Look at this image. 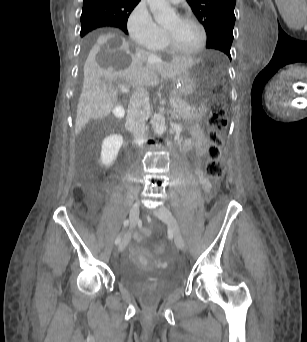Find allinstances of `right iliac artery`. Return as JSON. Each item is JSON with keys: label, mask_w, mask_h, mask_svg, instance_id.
<instances>
[{"label": "right iliac artery", "mask_w": 307, "mask_h": 342, "mask_svg": "<svg viewBox=\"0 0 307 342\" xmlns=\"http://www.w3.org/2000/svg\"><path fill=\"white\" fill-rule=\"evenodd\" d=\"M128 225H129V220H128V219L124 220L123 226H124V227H127ZM120 242H121V237L118 236V237L116 238V240H115V244L118 245V244H120Z\"/></svg>", "instance_id": "82829eb1"}]
</instances>
